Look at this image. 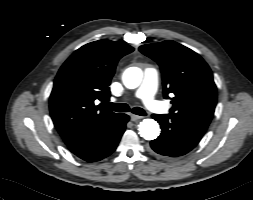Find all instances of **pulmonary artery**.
Returning a JSON list of instances; mask_svg holds the SVG:
<instances>
[{"label":"pulmonary artery","mask_w":253,"mask_h":200,"mask_svg":"<svg viewBox=\"0 0 253 200\" xmlns=\"http://www.w3.org/2000/svg\"><path fill=\"white\" fill-rule=\"evenodd\" d=\"M158 87V71L155 67L144 69V79L140 88L136 92V97L140 98L145 106L154 112H162V105L155 99Z\"/></svg>","instance_id":"1"}]
</instances>
